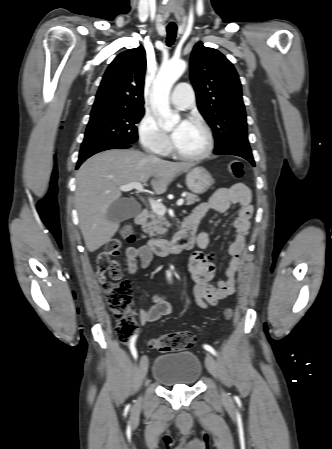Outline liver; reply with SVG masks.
I'll return each instance as SVG.
<instances>
[{
	"instance_id": "obj_1",
	"label": "liver",
	"mask_w": 332,
	"mask_h": 449,
	"mask_svg": "<svg viewBox=\"0 0 332 449\" xmlns=\"http://www.w3.org/2000/svg\"><path fill=\"white\" fill-rule=\"evenodd\" d=\"M192 165L153 160L135 150H108L85 161L76 174L75 201L85 245L94 252L108 243L119 229V222L107 219V210L121 197L120 186L146 183L151 177L157 194Z\"/></svg>"
}]
</instances>
